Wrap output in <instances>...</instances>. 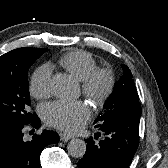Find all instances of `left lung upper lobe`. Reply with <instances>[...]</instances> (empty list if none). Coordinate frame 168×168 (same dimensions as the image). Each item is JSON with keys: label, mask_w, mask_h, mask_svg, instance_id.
Returning a JSON list of instances; mask_svg holds the SVG:
<instances>
[{"label": "left lung upper lobe", "mask_w": 168, "mask_h": 168, "mask_svg": "<svg viewBox=\"0 0 168 168\" xmlns=\"http://www.w3.org/2000/svg\"><path fill=\"white\" fill-rule=\"evenodd\" d=\"M123 75L116 82L113 93L103 106L94 123H100L110 117L121 115L140 119L141 107L132 73L126 65H122Z\"/></svg>", "instance_id": "obj_1"}]
</instances>
